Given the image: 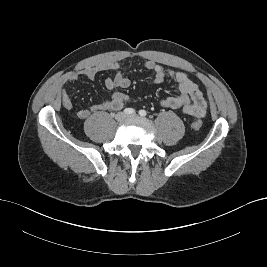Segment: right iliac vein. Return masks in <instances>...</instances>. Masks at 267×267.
<instances>
[{
	"mask_svg": "<svg viewBox=\"0 0 267 267\" xmlns=\"http://www.w3.org/2000/svg\"><path fill=\"white\" fill-rule=\"evenodd\" d=\"M126 118H127V115L122 112L116 115V120L119 122L124 121Z\"/></svg>",
	"mask_w": 267,
	"mask_h": 267,
	"instance_id": "1",
	"label": "right iliac vein"
}]
</instances>
